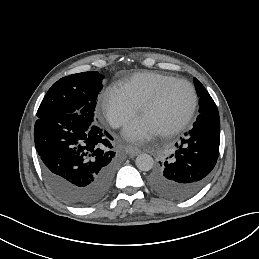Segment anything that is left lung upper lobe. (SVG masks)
I'll return each instance as SVG.
<instances>
[{
  "instance_id": "left-lung-upper-lobe-1",
  "label": "left lung upper lobe",
  "mask_w": 259,
  "mask_h": 259,
  "mask_svg": "<svg viewBox=\"0 0 259 259\" xmlns=\"http://www.w3.org/2000/svg\"><path fill=\"white\" fill-rule=\"evenodd\" d=\"M194 84L197 90V94L199 96V113L210 112L214 110H218L216 104L204 86L200 83V81L194 78Z\"/></svg>"
}]
</instances>
